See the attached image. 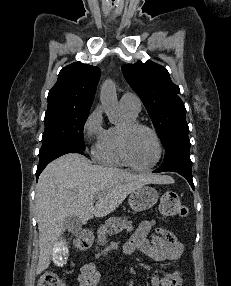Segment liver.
I'll list each match as a JSON object with an SVG mask.
<instances>
[{"mask_svg":"<svg viewBox=\"0 0 231 286\" xmlns=\"http://www.w3.org/2000/svg\"><path fill=\"white\" fill-rule=\"evenodd\" d=\"M169 176L136 175L117 168L92 165L77 153L54 160L41 173L36 186L39 260L36 274L46 270L54 246L70 215L86 223L93 216L113 212L135 189L146 184H172ZM98 201L94 206V198Z\"/></svg>","mask_w":231,"mask_h":286,"instance_id":"liver-1","label":"liver"}]
</instances>
